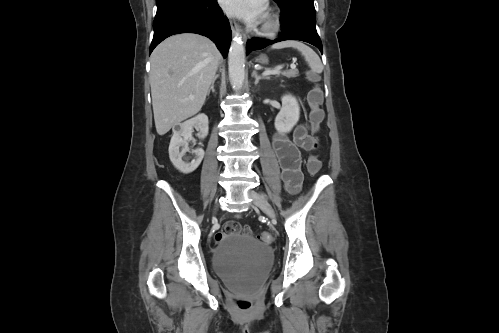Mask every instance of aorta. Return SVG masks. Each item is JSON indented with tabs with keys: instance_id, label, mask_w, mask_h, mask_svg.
<instances>
[{
	"instance_id": "762f6f07",
	"label": "aorta",
	"mask_w": 499,
	"mask_h": 333,
	"mask_svg": "<svg viewBox=\"0 0 499 333\" xmlns=\"http://www.w3.org/2000/svg\"><path fill=\"white\" fill-rule=\"evenodd\" d=\"M228 71L233 89H241L245 79V49L239 36L233 39L229 49Z\"/></svg>"
}]
</instances>
